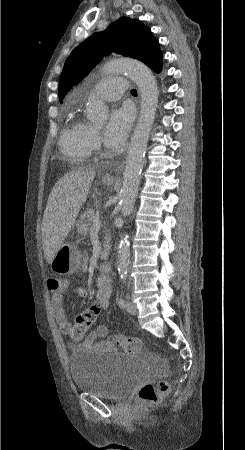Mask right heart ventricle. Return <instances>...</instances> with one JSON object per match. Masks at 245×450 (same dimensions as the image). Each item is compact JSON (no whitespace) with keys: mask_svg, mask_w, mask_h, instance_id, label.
<instances>
[{"mask_svg":"<svg viewBox=\"0 0 245 450\" xmlns=\"http://www.w3.org/2000/svg\"><path fill=\"white\" fill-rule=\"evenodd\" d=\"M92 126L79 116H74L60 138L61 151L75 161L84 162L92 151Z\"/></svg>","mask_w":245,"mask_h":450,"instance_id":"1","label":"right heart ventricle"}]
</instances>
